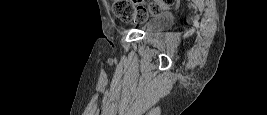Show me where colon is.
<instances>
[{"label":"colon","instance_id":"colon-1","mask_svg":"<svg viewBox=\"0 0 267 115\" xmlns=\"http://www.w3.org/2000/svg\"><path fill=\"white\" fill-rule=\"evenodd\" d=\"M112 10L123 22H143L151 16L161 14L163 7L160 4L136 6L128 0H114Z\"/></svg>","mask_w":267,"mask_h":115}]
</instances>
